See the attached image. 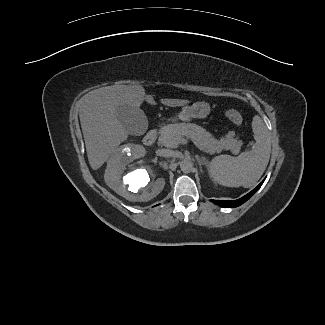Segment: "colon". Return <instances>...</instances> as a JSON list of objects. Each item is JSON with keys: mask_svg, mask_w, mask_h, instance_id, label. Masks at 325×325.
<instances>
[{"mask_svg": "<svg viewBox=\"0 0 325 325\" xmlns=\"http://www.w3.org/2000/svg\"><path fill=\"white\" fill-rule=\"evenodd\" d=\"M225 116L235 125H241L243 123V117L237 110H226Z\"/></svg>", "mask_w": 325, "mask_h": 325, "instance_id": "1", "label": "colon"}]
</instances>
